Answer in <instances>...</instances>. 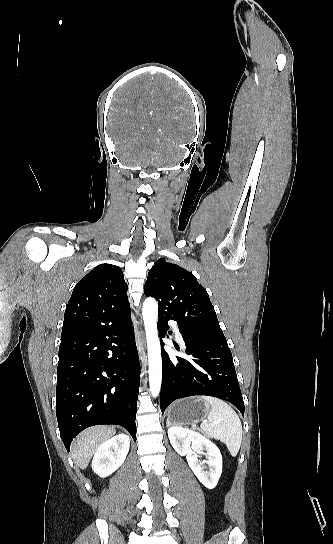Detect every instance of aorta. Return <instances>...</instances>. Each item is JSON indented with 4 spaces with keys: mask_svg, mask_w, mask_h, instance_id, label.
Instances as JSON below:
<instances>
[{
    "mask_svg": "<svg viewBox=\"0 0 333 544\" xmlns=\"http://www.w3.org/2000/svg\"><path fill=\"white\" fill-rule=\"evenodd\" d=\"M157 312V301L151 297L146 298L143 303L142 315L148 350L149 387L153 397L159 395L162 382V359L157 330Z\"/></svg>",
    "mask_w": 333,
    "mask_h": 544,
    "instance_id": "762f6f07",
    "label": "aorta"
}]
</instances>
